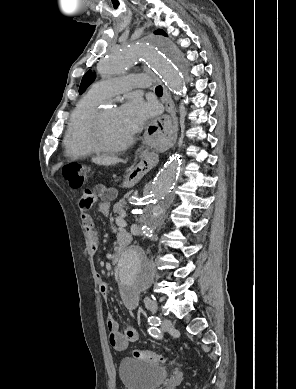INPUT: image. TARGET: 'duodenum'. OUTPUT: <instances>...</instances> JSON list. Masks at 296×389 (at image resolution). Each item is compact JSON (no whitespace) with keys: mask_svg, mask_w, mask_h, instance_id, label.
I'll return each instance as SVG.
<instances>
[{"mask_svg":"<svg viewBox=\"0 0 296 389\" xmlns=\"http://www.w3.org/2000/svg\"><path fill=\"white\" fill-rule=\"evenodd\" d=\"M129 243H130L129 236H122L119 238V245L113 254V261L115 263L120 261L122 254Z\"/></svg>","mask_w":296,"mask_h":389,"instance_id":"obj_1","label":"duodenum"}]
</instances>
